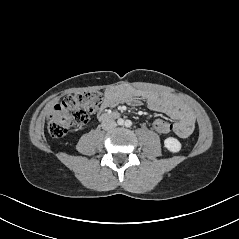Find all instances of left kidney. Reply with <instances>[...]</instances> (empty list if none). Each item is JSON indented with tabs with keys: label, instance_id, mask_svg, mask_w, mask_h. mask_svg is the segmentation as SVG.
Masks as SVG:
<instances>
[{
	"label": "left kidney",
	"instance_id": "left-kidney-1",
	"mask_svg": "<svg viewBox=\"0 0 239 239\" xmlns=\"http://www.w3.org/2000/svg\"><path fill=\"white\" fill-rule=\"evenodd\" d=\"M165 147L170 151V152H179L181 149V143L179 140L173 137H168L164 141Z\"/></svg>",
	"mask_w": 239,
	"mask_h": 239
}]
</instances>
